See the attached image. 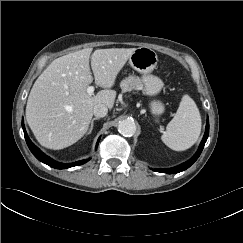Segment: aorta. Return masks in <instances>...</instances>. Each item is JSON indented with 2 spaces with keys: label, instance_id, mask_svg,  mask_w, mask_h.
I'll use <instances>...</instances> for the list:
<instances>
[{
  "label": "aorta",
  "instance_id": "762f6f07",
  "mask_svg": "<svg viewBox=\"0 0 243 243\" xmlns=\"http://www.w3.org/2000/svg\"><path fill=\"white\" fill-rule=\"evenodd\" d=\"M118 131L125 137H131L136 132V124L129 119L122 120L118 125Z\"/></svg>",
  "mask_w": 243,
  "mask_h": 243
}]
</instances>
